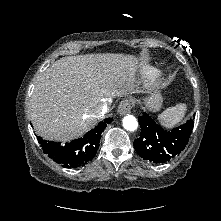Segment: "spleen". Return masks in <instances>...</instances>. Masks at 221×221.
<instances>
[{
	"instance_id": "3e777b00",
	"label": "spleen",
	"mask_w": 221,
	"mask_h": 221,
	"mask_svg": "<svg viewBox=\"0 0 221 221\" xmlns=\"http://www.w3.org/2000/svg\"><path fill=\"white\" fill-rule=\"evenodd\" d=\"M187 111V105L184 103L177 104L174 107L167 108L158 116V121L161 125L171 128L177 125L185 116Z\"/></svg>"
}]
</instances>
